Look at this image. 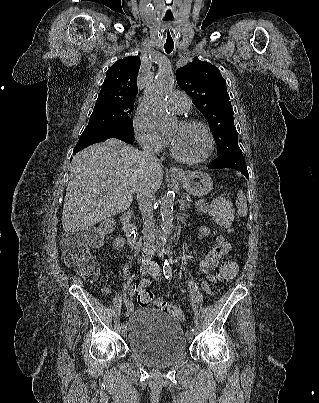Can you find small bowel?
<instances>
[{
  "label": "small bowel",
  "mask_w": 319,
  "mask_h": 403,
  "mask_svg": "<svg viewBox=\"0 0 319 403\" xmlns=\"http://www.w3.org/2000/svg\"><path fill=\"white\" fill-rule=\"evenodd\" d=\"M230 251V245L226 239L222 236H218L216 243L209 249V251L203 256L200 261V270L206 274V279L200 284L201 288L207 295H212L211 284L216 281V276L213 271L219 265L223 257H225ZM150 285V282L145 281L144 286ZM132 305L128 304V311L132 310Z\"/></svg>",
  "instance_id": "small-bowel-1"
}]
</instances>
